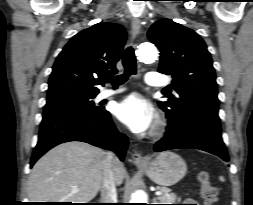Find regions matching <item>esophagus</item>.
<instances>
[{"instance_id":"1","label":"esophagus","mask_w":253,"mask_h":205,"mask_svg":"<svg viewBox=\"0 0 253 205\" xmlns=\"http://www.w3.org/2000/svg\"><path fill=\"white\" fill-rule=\"evenodd\" d=\"M131 28H132V39L135 40L136 37L139 35L141 29V24L138 18H134L132 20ZM131 157L132 161L136 165L146 163V159L138 152L132 153Z\"/></svg>"}]
</instances>
